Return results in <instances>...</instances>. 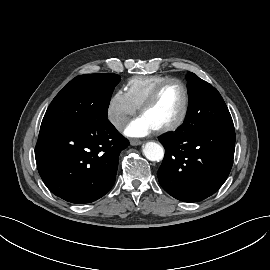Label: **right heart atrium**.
Returning <instances> with one entry per match:
<instances>
[{
    "mask_svg": "<svg viewBox=\"0 0 270 270\" xmlns=\"http://www.w3.org/2000/svg\"><path fill=\"white\" fill-rule=\"evenodd\" d=\"M137 108L123 90L115 91L107 105V119L118 131L122 130L129 119L136 113Z\"/></svg>",
    "mask_w": 270,
    "mask_h": 270,
    "instance_id": "right-heart-atrium-1",
    "label": "right heart atrium"
}]
</instances>
